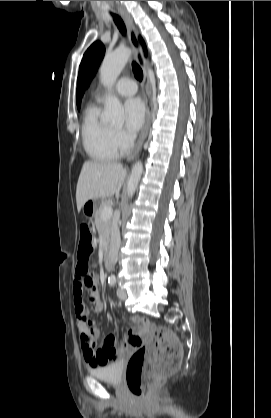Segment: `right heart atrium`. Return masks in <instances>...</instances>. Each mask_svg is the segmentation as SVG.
<instances>
[{
  "label": "right heart atrium",
  "mask_w": 271,
  "mask_h": 418,
  "mask_svg": "<svg viewBox=\"0 0 271 418\" xmlns=\"http://www.w3.org/2000/svg\"><path fill=\"white\" fill-rule=\"evenodd\" d=\"M113 140L117 150L127 151L133 144V137L122 129H115L113 131Z\"/></svg>",
  "instance_id": "1"
}]
</instances>
